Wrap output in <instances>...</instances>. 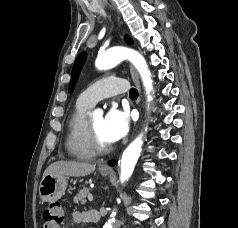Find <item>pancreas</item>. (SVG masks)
Wrapping results in <instances>:
<instances>
[{"label":"pancreas","mask_w":238,"mask_h":228,"mask_svg":"<svg viewBox=\"0 0 238 228\" xmlns=\"http://www.w3.org/2000/svg\"><path fill=\"white\" fill-rule=\"evenodd\" d=\"M90 189L88 187H83L80 189L78 194L74 197L75 203H81L82 205L86 203V197L89 195Z\"/></svg>","instance_id":"1"}]
</instances>
